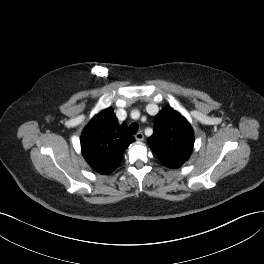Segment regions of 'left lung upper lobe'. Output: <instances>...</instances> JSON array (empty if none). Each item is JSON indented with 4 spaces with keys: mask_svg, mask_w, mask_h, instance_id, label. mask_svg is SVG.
Listing matches in <instances>:
<instances>
[{
    "mask_svg": "<svg viewBox=\"0 0 264 264\" xmlns=\"http://www.w3.org/2000/svg\"><path fill=\"white\" fill-rule=\"evenodd\" d=\"M148 144L166 167L177 169L192 153L193 129L179 112L166 107L155 118L154 132L148 138Z\"/></svg>",
    "mask_w": 264,
    "mask_h": 264,
    "instance_id": "1",
    "label": "left lung upper lobe"
}]
</instances>
